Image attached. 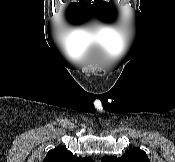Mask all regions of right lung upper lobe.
<instances>
[{"mask_svg":"<svg viewBox=\"0 0 175 162\" xmlns=\"http://www.w3.org/2000/svg\"><path fill=\"white\" fill-rule=\"evenodd\" d=\"M42 162H93L89 157L81 158L62 147L50 150Z\"/></svg>","mask_w":175,"mask_h":162,"instance_id":"cb5924a9","label":"right lung upper lobe"}]
</instances>
